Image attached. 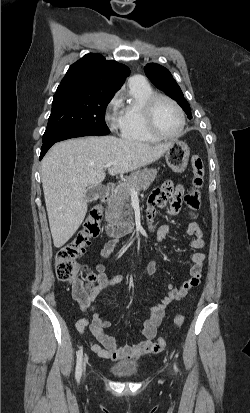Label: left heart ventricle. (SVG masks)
<instances>
[{
  "label": "left heart ventricle",
  "mask_w": 250,
  "mask_h": 413,
  "mask_svg": "<svg viewBox=\"0 0 250 413\" xmlns=\"http://www.w3.org/2000/svg\"><path fill=\"white\" fill-rule=\"evenodd\" d=\"M154 121L159 132L171 135L175 134L181 124L178 111L165 100H160L155 108Z\"/></svg>",
  "instance_id": "obj_1"
}]
</instances>
